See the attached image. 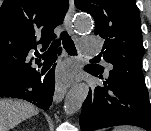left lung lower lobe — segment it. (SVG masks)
<instances>
[{"label":"left lung lower lobe","mask_w":151,"mask_h":131,"mask_svg":"<svg viewBox=\"0 0 151 131\" xmlns=\"http://www.w3.org/2000/svg\"><path fill=\"white\" fill-rule=\"evenodd\" d=\"M85 71L103 81L90 89L82 105L81 131H95L117 125H134L151 131V104L141 69L102 73L87 65Z\"/></svg>","instance_id":"1"}]
</instances>
